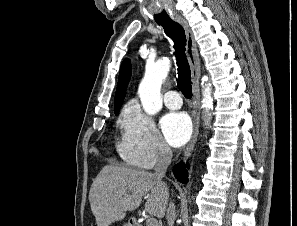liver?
Wrapping results in <instances>:
<instances>
[{"label":"liver","mask_w":297,"mask_h":226,"mask_svg":"<svg viewBox=\"0 0 297 226\" xmlns=\"http://www.w3.org/2000/svg\"><path fill=\"white\" fill-rule=\"evenodd\" d=\"M147 195L145 210L163 218L169 189L155 174L128 167L106 165L92 183L89 192L91 211L97 226H109L137 209Z\"/></svg>","instance_id":"obj_1"}]
</instances>
